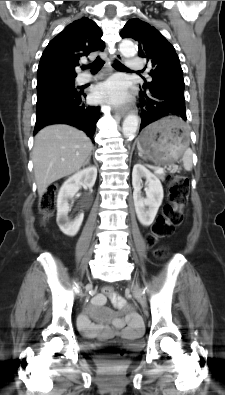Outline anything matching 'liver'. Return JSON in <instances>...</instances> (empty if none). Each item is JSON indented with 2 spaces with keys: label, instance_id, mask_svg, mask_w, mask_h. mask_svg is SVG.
<instances>
[{
  "label": "liver",
  "instance_id": "obj_1",
  "mask_svg": "<svg viewBox=\"0 0 225 395\" xmlns=\"http://www.w3.org/2000/svg\"><path fill=\"white\" fill-rule=\"evenodd\" d=\"M92 148L90 138L83 131L67 124H54L40 130L32 151L39 196L53 182L79 171Z\"/></svg>",
  "mask_w": 225,
  "mask_h": 395
}]
</instances>
